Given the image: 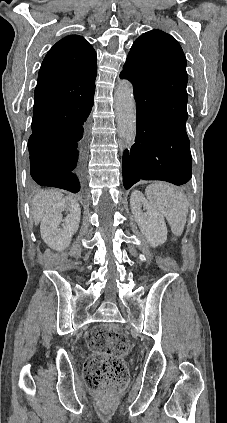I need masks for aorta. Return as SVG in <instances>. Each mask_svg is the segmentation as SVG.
<instances>
[{
	"label": "aorta",
	"mask_w": 227,
	"mask_h": 423,
	"mask_svg": "<svg viewBox=\"0 0 227 423\" xmlns=\"http://www.w3.org/2000/svg\"><path fill=\"white\" fill-rule=\"evenodd\" d=\"M118 135L124 146L131 147L136 136V109L132 84L127 80L118 83L115 92Z\"/></svg>",
	"instance_id": "762f6f07"
}]
</instances>
